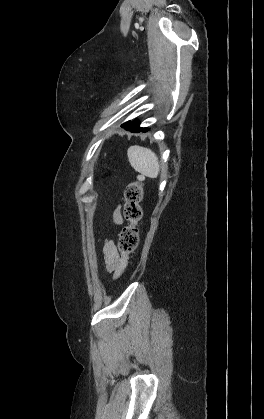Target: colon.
Here are the masks:
<instances>
[{
    "mask_svg": "<svg viewBox=\"0 0 264 419\" xmlns=\"http://www.w3.org/2000/svg\"><path fill=\"white\" fill-rule=\"evenodd\" d=\"M142 185L140 182L130 183L125 189L124 216L128 224L121 230L118 247L121 253L120 264L115 271V279H119L126 270L130 255L138 245V224L142 219Z\"/></svg>",
    "mask_w": 264,
    "mask_h": 419,
    "instance_id": "5ec220e1",
    "label": "colon"
}]
</instances>
